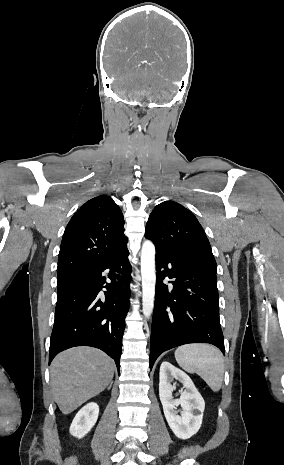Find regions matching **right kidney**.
<instances>
[{"label":"right kidney","mask_w":284,"mask_h":465,"mask_svg":"<svg viewBox=\"0 0 284 465\" xmlns=\"http://www.w3.org/2000/svg\"><path fill=\"white\" fill-rule=\"evenodd\" d=\"M98 415L99 407L97 403H88V405L82 407L71 423V435H73V437H77V439L85 437V435L91 431L92 427H94L98 419Z\"/></svg>","instance_id":"1"}]
</instances>
